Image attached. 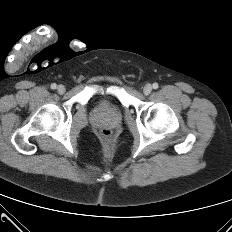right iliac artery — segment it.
Instances as JSON below:
<instances>
[{
	"label": "right iliac artery",
	"instance_id": "obj_1",
	"mask_svg": "<svg viewBox=\"0 0 232 232\" xmlns=\"http://www.w3.org/2000/svg\"><path fill=\"white\" fill-rule=\"evenodd\" d=\"M57 85L55 83L51 84V89H56Z\"/></svg>",
	"mask_w": 232,
	"mask_h": 232
}]
</instances>
